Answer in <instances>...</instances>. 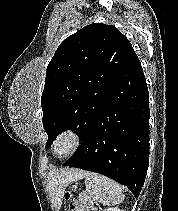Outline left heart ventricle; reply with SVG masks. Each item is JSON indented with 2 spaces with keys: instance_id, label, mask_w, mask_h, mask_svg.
<instances>
[{
  "instance_id": "1",
  "label": "left heart ventricle",
  "mask_w": 178,
  "mask_h": 211,
  "mask_svg": "<svg viewBox=\"0 0 178 211\" xmlns=\"http://www.w3.org/2000/svg\"><path fill=\"white\" fill-rule=\"evenodd\" d=\"M70 145V142L67 138L62 139L57 145V151L59 153H64Z\"/></svg>"
}]
</instances>
